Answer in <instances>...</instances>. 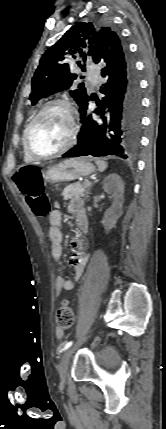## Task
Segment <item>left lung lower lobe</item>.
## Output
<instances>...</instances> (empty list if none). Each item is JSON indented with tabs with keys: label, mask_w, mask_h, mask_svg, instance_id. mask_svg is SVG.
I'll return each mask as SVG.
<instances>
[{
	"label": "left lung lower lobe",
	"mask_w": 166,
	"mask_h": 429,
	"mask_svg": "<svg viewBox=\"0 0 166 429\" xmlns=\"http://www.w3.org/2000/svg\"><path fill=\"white\" fill-rule=\"evenodd\" d=\"M102 42L95 63L102 66L106 78L97 100L95 115H86L88 101L80 107V122L76 145L64 157L115 155L127 159L138 148L141 128V89L135 64L120 37Z\"/></svg>",
	"instance_id": "0a47b994"
}]
</instances>
